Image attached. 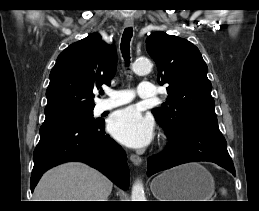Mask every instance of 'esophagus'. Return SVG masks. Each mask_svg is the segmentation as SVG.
Returning a JSON list of instances; mask_svg holds the SVG:
<instances>
[{
  "mask_svg": "<svg viewBox=\"0 0 259 211\" xmlns=\"http://www.w3.org/2000/svg\"><path fill=\"white\" fill-rule=\"evenodd\" d=\"M125 27H132L133 26V22H125ZM130 160L132 161V163L134 165H140L142 163V158L138 155L135 154H131L130 156Z\"/></svg>",
  "mask_w": 259,
  "mask_h": 211,
  "instance_id": "34e87169",
  "label": "esophagus"
}]
</instances>
